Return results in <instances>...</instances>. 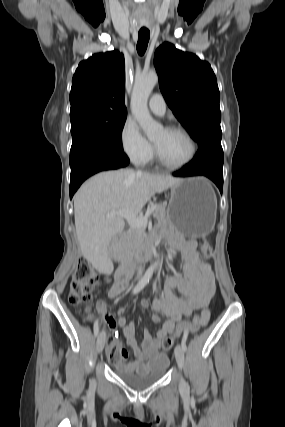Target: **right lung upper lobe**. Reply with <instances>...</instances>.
<instances>
[{"mask_svg": "<svg viewBox=\"0 0 285 427\" xmlns=\"http://www.w3.org/2000/svg\"><path fill=\"white\" fill-rule=\"evenodd\" d=\"M122 53H97L82 61L72 79L70 116L86 112L127 113Z\"/></svg>", "mask_w": 285, "mask_h": 427, "instance_id": "1", "label": "right lung upper lobe"}]
</instances>
